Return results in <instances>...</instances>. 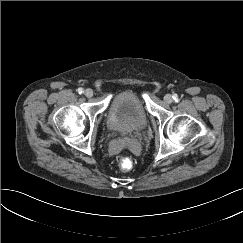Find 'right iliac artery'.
<instances>
[{"label":"right iliac artery","instance_id":"82829eb1","mask_svg":"<svg viewBox=\"0 0 243 243\" xmlns=\"http://www.w3.org/2000/svg\"><path fill=\"white\" fill-rule=\"evenodd\" d=\"M84 92L83 88H78V93L82 94Z\"/></svg>","mask_w":243,"mask_h":243}]
</instances>
